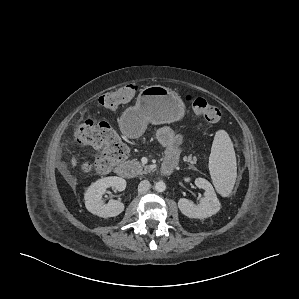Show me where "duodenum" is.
I'll list each match as a JSON object with an SVG mask.
<instances>
[{"mask_svg":"<svg viewBox=\"0 0 299 299\" xmlns=\"http://www.w3.org/2000/svg\"><path fill=\"white\" fill-rule=\"evenodd\" d=\"M175 168V163L170 161H164L161 170L164 174H171ZM116 173L123 178H129L132 175L131 167L127 163H121L119 164L116 169Z\"/></svg>","mask_w":299,"mask_h":299,"instance_id":"1","label":"duodenum"}]
</instances>
